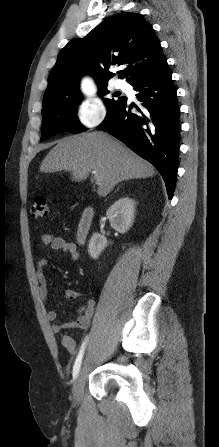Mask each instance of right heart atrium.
Masks as SVG:
<instances>
[{
  "mask_svg": "<svg viewBox=\"0 0 219 447\" xmlns=\"http://www.w3.org/2000/svg\"><path fill=\"white\" fill-rule=\"evenodd\" d=\"M108 112L104 104L99 101L82 103L79 105L76 118L85 130H92L101 125L107 118Z\"/></svg>",
  "mask_w": 219,
  "mask_h": 447,
  "instance_id": "right-heart-atrium-1",
  "label": "right heart atrium"
}]
</instances>
